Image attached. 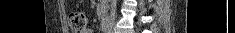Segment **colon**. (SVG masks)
<instances>
[{"instance_id":"colon-1","label":"colon","mask_w":235,"mask_h":33,"mask_svg":"<svg viewBox=\"0 0 235 33\" xmlns=\"http://www.w3.org/2000/svg\"><path fill=\"white\" fill-rule=\"evenodd\" d=\"M69 24L73 33H84L89 30V18L83 12H72Z\"/></svg>"}]
</instances>
